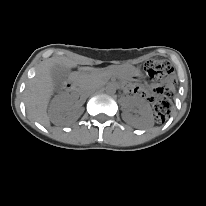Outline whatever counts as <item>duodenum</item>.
I'll list each match as a JSON object with an SVG mask.
<instances>
[{
    "mask_svg": "<svg viewBox=\"0 0 206 206\" xmlns=\"http://www.w3.org/2000/svg\"><path fill=\"white\" fill-rule=\"evenodd\" d=\"M64 88L67 91H74L76 89V82L73 79H70L65 83Z\"/></svg>",
    "mask_w": 206,
    "mask_h": 206,
    "instance_id": "410a0bca",
    "label": "duodenum"
}]
</instances>
